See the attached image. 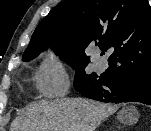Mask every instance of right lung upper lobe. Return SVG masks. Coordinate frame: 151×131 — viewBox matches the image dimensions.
<instances>
[{
	"instance_id": "1",
	"label": "right lung upper lobe",
	"mask_w": 151,
	"mask_h": 131,
	"mask_svg": "<svg viewBox=\"0 0 151 131\" xmlns=\"http://www.w3.org/2000/svg\"><path fill=\"white\" fill-rule=\"evenodd\" d=\"M38 44L80 54L98 45L112 51L105 75L150 73L151 7L147 0H64L35 29L29 46Z\"/></svg>"
}]
</instances>
